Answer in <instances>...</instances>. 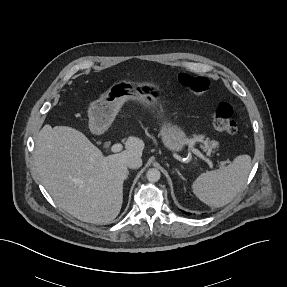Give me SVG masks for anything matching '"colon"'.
Wrapping results in <instances>:
<instances>
[{"label":"colon","mask_w":287,"mask_h":287,"mask_svg":"<svg viewBox=\"0 0 287 287\" xmlns=\"http://www.w3.org/2000/svg\"><path fill=\"white\" fill-rule=\"evenodd\" d=\"M178 83L198 96H205L209 92V81L205 76H192L180 73L177 77ZM213 127L220 132L235 134L238 131L236 122L232 119V108L223 104L211 113Z\"/></svg>","instance_id":"5ec220e1"}]
</instances>
